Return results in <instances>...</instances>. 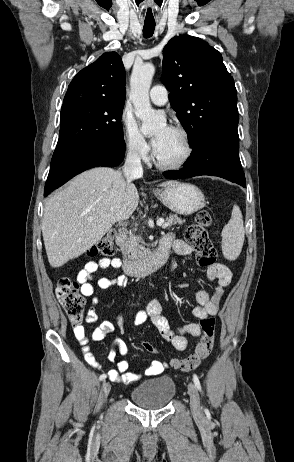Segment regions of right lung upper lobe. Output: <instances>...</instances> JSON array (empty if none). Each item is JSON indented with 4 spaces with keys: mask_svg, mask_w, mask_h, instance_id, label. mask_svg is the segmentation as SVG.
I'll use <instances>...</instances> for the list:
<instances>
[{
    "mask_svg": "<svg viewBox=\"0 0 294 462\" xmlns=\"http://www.w3.org/2000/svg\"><path fill=\"white\" fill-rule=\"evenodd\" d=\"M125 70L116 52H106L71 81L63 103L78 99L125 100Z\"/></svg>",
    "mask_w": 294,
    "mask_h": 462,
    "instance_id": "obj_1",
    "label": "right lung upper lobe"
}]
</instances>
